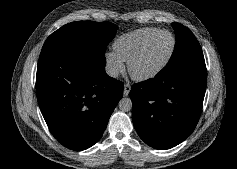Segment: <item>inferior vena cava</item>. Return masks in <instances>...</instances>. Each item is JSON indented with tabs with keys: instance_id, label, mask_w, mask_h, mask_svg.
Masks as SVG:
<instances>
[{
	"instance_id": "1",
	"label": "inferior vena cava",
	"mask_w": 237,
	"mask_h": 169,
	"mask_svg": "<svg viewBox=\"0 0 237 169\" xmlns=\"http://www.w3.org/2000/svg\"><path fill=\"white\" fill-rule=\"evenodd\" d=\"M105 71L110 77L117 78L119 76V70L112 65H106Z\"/></svg>"
}]
</instances>
